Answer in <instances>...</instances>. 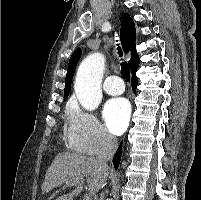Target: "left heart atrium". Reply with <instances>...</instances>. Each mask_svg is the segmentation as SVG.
I'll list each match as a JSON object with an SVG mask.
<instances>
[{"instance_id":"39dd6f15","label":"left heart atrium","mask_w":201,"mask_h":200,"mask_svg":"<svg viewBox=\"0 0 201 200\" xmlns=\"http://www.w3.org/2000/svg\"><path fill=\"white\" fill-rule=\"evenodd\" d=\"M103 118L108 130L116 135L125 131L130 119V105L124 98L109 100L103 109Z\"/></svg>"}]
</instances>
